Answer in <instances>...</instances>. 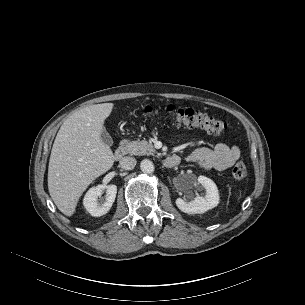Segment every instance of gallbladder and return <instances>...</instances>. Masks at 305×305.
<instances>
[{"label": "gallbladder", "mask_w": 305, "mask_h": 305, "mask_svg": "<svg viewBox=\"0 0 305 305\" xmlns=\"http://www.w3.org/2000/svg\"><path fill=\"white\" fill-rule=\"evenodd\" d=\"M101 141L107 145L112 146L113 145V139L110 136V134L104 129L100 135Z\"/></svg>", "instance_id": "obj_1"}]
</instances>
